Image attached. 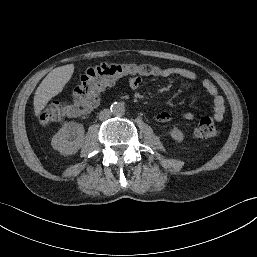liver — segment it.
Listing matches in <instances>:
<instances>
[{
  "instance_id": "liver-1",
  "label": "liver",
  "mask_w": 257,
  "mask_h": 257,
  "mask_svg": "<svg viewBox=\"0 0 257 257\" xmlns=\"http://www.w3.org/2000/svg\"><path fill=\"white\" fill-rule=\"evenodd\" d=\"M74 65L68 64L53 69L40 83L35 91L34 112L38 116L47 103L60 92L71 79Z\"/></svg>"
}]
</instances>
